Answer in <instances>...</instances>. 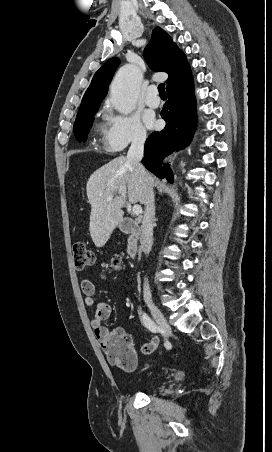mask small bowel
I'll list each match as a JSON object with an SVG mask.
<instances>
[{
    "label": "small bowel",
    "mask_w": 272,
    "mask_h": 452,
    "mask_svg": "<svg viewBox=\"0 0 272 452\" xmlns=\"http://www.w3.org/2000/svg\"><path fill=\"white\" fill-rule=\"evenodd\" d=\"M104 279H107L106 275H102ZM81 289L84 294V302L87 306H93L95 304V286L94 284L84 278L81 281ZM130 295L131 293L128 292ZM112 313V305L109 302H99L96 305V311L92 319L90 320V325L93 328L95 332V336L99 342L100 347L103 350H106L107 341L111 337H120V336H127L130 338L128 334L122 329V328H113V329H107L102 326V322L110 317ZM159 345V338L158 336H153L148 342L143 344L141 348V352L144 355H150L152 354Z\"/></svg>",
    "instance_id": "obj_1"
}]
</instances>
